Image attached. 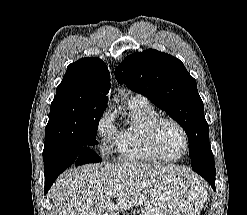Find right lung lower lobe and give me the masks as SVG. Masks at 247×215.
Returning <instances> with one entry per match:
<instances>
[{"mask_svg": "<svg viewBox=\"0 0 247 215\" xmlns=\"http://www.w3.org/2000/svg\"><path fill=\"white\" fill-rule=\"evenodd\" d=\"M45 173V194L53 182L71 165L101 162L102 159L89 146L80 147L76 143H63L48 153H43Z\"/></svg>", "mask_w": 247, "mask_h": 215, "instance_id": "1", "label": "right lung lower lobe"}]
</instances>
